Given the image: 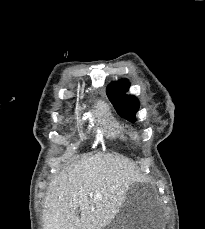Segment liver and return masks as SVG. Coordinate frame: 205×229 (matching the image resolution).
<instances>
[{
  "mask_svg": "<svg viewBox=\"0 0 205 229\" xmlns=\"http://www.w3.org/2000/svg\"><path fill=\"white\" fill-rule=\"evenodd\" d=\"M136 178L133 162L123 156L82 155L49 183L44 229L104 228L119 212Z\"/></svg>",
  "mask_w": 205,
  "mask_h": 229,
  "instance_id": "liver-1",
  "label": "liver"
}]
</instances>
